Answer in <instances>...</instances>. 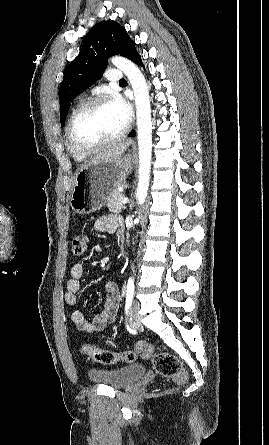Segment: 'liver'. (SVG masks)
I'll return each instance as SVG.
<instances>
[{"label":"liver","mask_w":269,"mask_h":445,"mask_svg":"<svg viewBox=\"0 0 269 445\" xmlns=\"http://www.w3.org/2000/svg\"><path fill=\"white\" fill-rule=\"evenodd\" d=\"M130 144L131 142L126 140L116 145L110 146L106 148L104 151L100 152L96 157L91 159L89 162L81 165L80 169L86 168L92 164H97L101 161H113L119 159L122 157L123 153L126 151V149Z\"/></svg>","instance_id":"1"}]
</instances>
